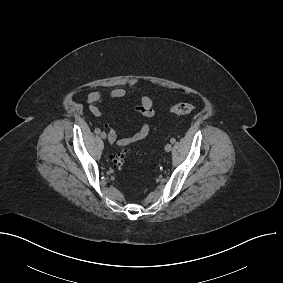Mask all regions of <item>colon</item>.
Wrapping results in <instances>:
<instances>
[{
    "label": "colon",
    "instance_id": "1",
    "mask_svg": "<svg viewBox=\"0 0 283 283\" xmlns=\"http://www.w3.org/2000/svg\"><path fill=\"white\" fill-rule=\"evenodd\" d=\"M169 111L178 116L189 115L193 111V106L188 103H176L169 107ZM125 156V150H122L113 156L112 161L115 169L120 170L122 168Z\"/></svg>",
    "mask_w": 283,
    "mask_h": 283
}]
</instances>
